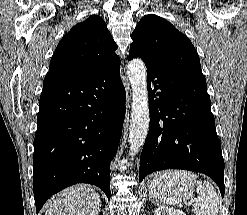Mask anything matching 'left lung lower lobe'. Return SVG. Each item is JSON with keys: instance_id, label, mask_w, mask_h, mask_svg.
Returning a JSON list of instances; mask_svg holds the SVG:
<instances>
[{"instance_id": "obj_1", "label": "left lung lower lobe", "mask_w": 247, "mask_h": 215, "mask_svg": "<svg viewBox=\"0 0 247 215\" xmlns=\"http://www.w3.org/2000/svg\"><path fill=\"white\" fill-rule=\"evenodd\" d=\"M145 64L151 119L139 181L163 169L190 170L210 176L224 196V160L206 80Z\"/></svg>"}]
</instances>
